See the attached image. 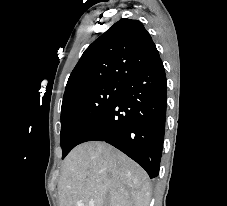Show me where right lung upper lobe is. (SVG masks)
<instances>
[{
    "label": "right lung upper lobe",
    "instance_id": "obj_1",
    "mask_svg": "<svg viewBox=\"0 0 227 206\" xmlns=\"http://www.w3.org/2000/svg\"><path fill=\"white\" fill-rule=\"evenodd\" d=\"M159 57L154 42L138 20L121 19L97 38L73 69L64 98L107 82H124Z\"/></svg>",
    "mask_w": 227,
    "mask_h": 206
}]
</instances>
